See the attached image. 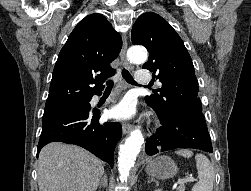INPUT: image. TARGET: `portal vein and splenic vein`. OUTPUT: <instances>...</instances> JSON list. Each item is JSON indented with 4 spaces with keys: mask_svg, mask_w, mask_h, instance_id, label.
Instances as JSON below:
<instances>
[{
    "mask_svg": "<svg viewBox=\"0 0 251 191\" xmlns=\"http://www.w3.org/2000/svg\"><path fill=\"white\" fill-rule=\"evenodd\" d=\"M195 181H196L195 177H192L191 179H190V177H186V179H178L177 183H180V185H182V183L194 184Z\"/></svg>",
    "mask_w": 251,
    "mask_h": 191,
    "instance_id": "1",
    "label": "portal vein and splenic vein"
}]
</instances>
